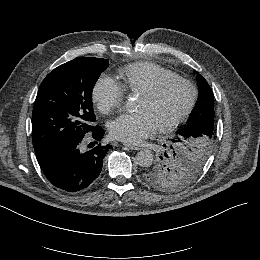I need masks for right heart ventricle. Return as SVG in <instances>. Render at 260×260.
Masks as SVG:
<instances>
[{
	"label": "right heart ventricle",
	"instance_id": "obj_1",
	"mask_svg": "<svg viewBox=\"0 0 260 260\" xmlns=\"http://www.w3.org/2000/svg\"><path fill=\"white\" fill-rule=\"evenodd\" d=\"M155 75L159 79H163L175 76V73L156 64L136 63L129 65L122 71V85L132 94H139L152 86Z\"/></svg>",
	"mask_w": 260,
	"mask_h": 260
}]
</instances>
